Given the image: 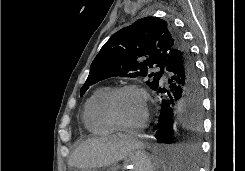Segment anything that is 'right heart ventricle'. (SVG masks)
Returning <instances> with one entry per match:
<instances>
[{"label":"right heart ventricle","mask_w":245,"mask_h":171,"mask_svg":"<svg viewBox=\"0 0 245 171\" xmlns=\"http://www.w3.org/2000/svg\"><path fill=\"white\" fill-rule=\"evenodd\" d=\"M110 90L109 86L98 87L85 103L83 122L87 130L93 134L106 135L117 130L106 117L103 107L104 100Z\"/></svg>","instance_id":"right-heart-ventricle-1"}]
</instances>
